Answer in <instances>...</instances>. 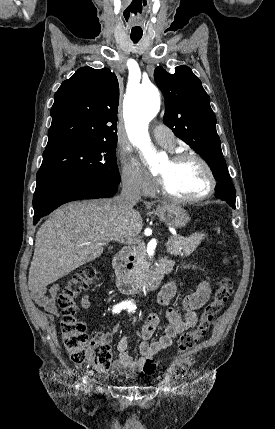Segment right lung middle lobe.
Segmentation results:
<instances>
[{
	"label": "right lung middle lobe",
	"mask_w": 275,
	"mask_h": 429,
	"mask_svg": "<svg viewBox=\"0 0 275 429\" xmlns=\"http://www.w3.org/2000/svg\"><path fill=\"white\" fill-rule=\"evenodd\" d=\"M117 139L92 144H68L43 153L36 189L73 178H98L120 183L116 163Z\"/></svg>",
	"instance_id": "dd1d6c3e"
}]
</instances>
